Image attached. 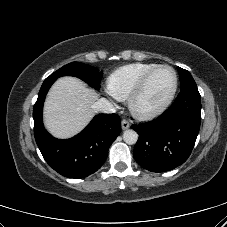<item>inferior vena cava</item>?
Returning a JSON list of instances; mask_svg holds the SVG:
<instances>
[{
  "instance_id": "obj_1",
  "label": "inferior vena cava",
  "mask_w": 227,
  "mask_h": 227,
  "mask_svg": "<svg viewBox=\"0 0 227 227\" xmlns=\"http://www.w3.org/2000/svg\"><path fill=\"white\" fill-rule=\"evenodd\" d=\"M95 108L102 113H114L116 111L113 104L105 98L99 99L95 103Z\"/></svg>"
}]
</instances>
